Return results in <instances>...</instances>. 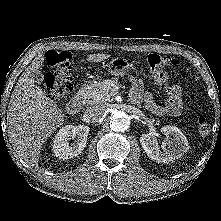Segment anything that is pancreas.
<instances>
[{
    "instance_id": "1",
    "label": "pancreas",
    "mask_w": 221,
    "mask_h": 221,
    "mask_svg": "<svg viewBox=\"0 0 221 221\" xmlns=\"http://www.w3.org/2000/svg\"><path fill=\"white\" fill-rule=\"evenodd\" d=\"M120 85L113 80H103L90 86L85 93V99H89L93 104H99L110 101L114 96Z\"/></svg>"
}]
</instances>
